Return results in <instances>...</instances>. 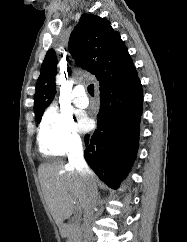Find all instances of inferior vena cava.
I'll use <instances>...</instances> for the list:
<instances>
[{
  "label": "inferior vena cava",
  "mask_w": 187,
  "mask_h": 242,
  "mask_svg": "<svg viewBox=\"0 0 187 242\" xmlns=\"http://www.w3.org/2000/svg\"><path fill=\"white\" fill-rule=\"evenodd\" d=\"M69 165L76 168L80 176L91 178L93 172L88 167L84 156L81 140L72 143L68 154ZM98 199L97 185L91 182L87 190V198L84 203V221L82 226L83 238L82 242H93L92 223L94 217V208Z\"/></svg>",
  "instance_id": "inferior-vena-cava-1"
}]
</instances>
